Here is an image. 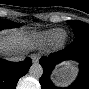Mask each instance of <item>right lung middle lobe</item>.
I'll list each match as a JSON object with an SVG mask.
<instances>
[{
	"label": "right lung middle lobe",
	"mask_w": 89,
	"mask_h": 89,
	"mask_svg": "<svg viewBox=\"0 0 89 89\" xmlns=\"http://www.w3.org/2000/svg\"><path fill=\"white\" fill-rule=\"evenodd\" d=\"M19 25L17 23L11 22L9 20H0V29H6V28H12V27H18Z\"/></svg>",
	"instance_id": "dd1d6c3e"
}]
</instances>
